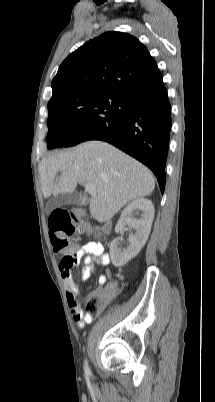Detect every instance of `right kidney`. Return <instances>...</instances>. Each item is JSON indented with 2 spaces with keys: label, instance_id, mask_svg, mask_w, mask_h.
Listing matches in <instances>:
<instances>
[{
  "label": "right kidney",
  "instance_id": "ca27d5eb",
  "mask_svg": "<svg viewBox=\"0 0 215 402\" xmlns=\"http://www.w3.org/2000/svg\"><path fill=\"white\" fill-rule=\"evenodd\" d=\"M133 214H140L141 218H133ZM153 219L154 206L149 199L137 198L124 208L115 232L122 233L123 229L129 226L135 229L136 233L129 236L128 245L125 248L121 247L118 238L111 242L110 257L114 266L122 267L138 255L148 240Z\"/></svg>",
  "mask_w": 215,
  "mask_h": 402
}]
</instances>
